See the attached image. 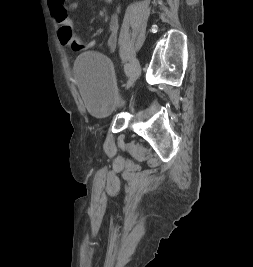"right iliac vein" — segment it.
Instances as JSON below:
<instances>
[{"mask_svg": "<svg viewBox=\"0 0 253 267\" xmlns=\"http://www.w3.org/2000/svg\"><path fill=\"white\" fill-rule=\"evenodd\" d=\"M130 65H131V68H130V73H129V79L127 82V89L133 85V83L136 81L138 74H139V63L136 58L132 60Z\"/></svg>", "mask_w": 253, "mask_h": 267, "instance_id": "right-iliac-vein-1", "label": "right iliac vein"}]
</instances>
